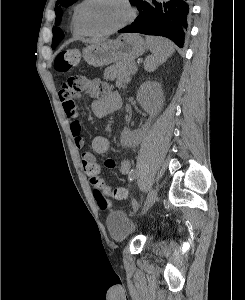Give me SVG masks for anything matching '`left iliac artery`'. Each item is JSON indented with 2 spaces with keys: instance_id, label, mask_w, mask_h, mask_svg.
I'll list each match as a JSON object with an SVG mask.
<instances>
[{
  "instance_id": "left-iliac-artery-1",
  "label": "left iliac artery",
  "mask_w": 245,
  "mask_h": 300,
  "mask_svg": "<svg viewBox=\"0 0 245 300\" xmlns=\"http://www.w3.org/2000/svg\"><path fill=\"white\" fill-rule=\"evenodd\" d=\"M135 177H136V173L132 172L131 175L129 176V180L132 181ZM133 207H134V210L138 209L139 205L136 201L133 203Z\"/></svg>"
}]
</instances>
